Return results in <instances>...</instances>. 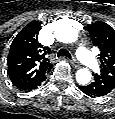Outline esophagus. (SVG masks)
Here are the masks:
<instances>
[{"label": "esophagus", "mask_w": 115, "mask_h": 119, "mask_svg": "<svg viewBox=\"0 0 115 119\" xmlns=\"http://www.w3.org/2000/svg\"><path fill=\"white\" fill-rule=\"evenodd\" d=\"M69 62L72 64V66H74L75 68H79L80 64L79 62L76 60L75 57H72V59L69 60Z\"/></svg>", "instance_id": "obj_1"}]
</instances>
